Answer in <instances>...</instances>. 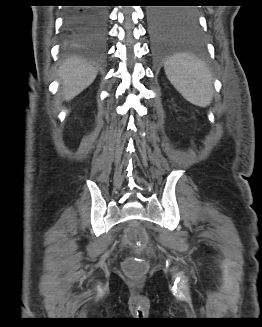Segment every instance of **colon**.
<instances>
[{"label":"colon","instance_id":"1","mask_svg":"<svg viewBox=\"0 0 262 327\" xmlns=\"http://www.w3.org/2000/svg\"><path fill=\"white\" fill-rule=\"evenodd\" d=\"M127 239L134 242L137 250H141L147 243V237L144 230L140 227H134L127 233ZM126 273L132 278L140 277L146 270V263L140 259L135 258L128 260L124 265Z\"/></svg>","mask_w":262,"mask_h":327}]
</instances>
